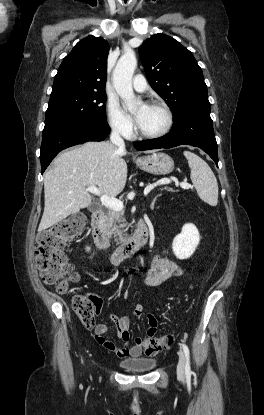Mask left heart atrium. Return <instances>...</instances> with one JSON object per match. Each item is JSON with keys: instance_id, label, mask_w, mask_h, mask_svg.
<instances>
[{"instance_id": "left-heart-atrium-1", "label": "left heart atrium", "mask_w": 264, "mask_h": 415, "mask_svg": "<svg viewBox=\"0 0 264 415\" xmlns=\"http://www.w3.org/2000/svg\"><path fill=\"white\" fill-rule=\"evenodd\" d=\"M146 106H144V108H145ZM138 120H139V117H136V121L138 122Z\"/></svg>"}]
</instances>
